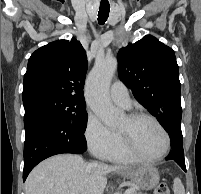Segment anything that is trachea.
<instances>
[{
  "label": "trachea",
  "instance_id": "3493384b",
  "mask_svg": "<svg viewBox=\"0 0 201 194\" xmlns=\"http://www.w3.org/2000/svg\"><path fill=\"white\" fill-rule=\"evenodd\" d=\"M109 12H110L109 3L108 2H101L99 12H98L99 24L103 25L106 22V20L109 16Z\"/></svg>",
  "mask_w": 201,
  "mask_h": 194
}]
</instances>
